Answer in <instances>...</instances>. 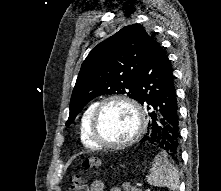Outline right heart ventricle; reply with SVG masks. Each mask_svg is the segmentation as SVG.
<instances>
[{
	"mask_svg": "<svg viewBox=\"0 0 221 191\" xmlns=\"http://www.w3.org/2000/svg\"><path fill=\"white\" fill-rule=\"evenodd\" d=\"M97 104V102H93L85 109L79 123L80 140L85 147L90 149H96L100 147L94 142L90 133L91 118Z\"/></svg>",
	"mask_w": 221,
	"mask_h": 191,
	"instance_id": "right-heart-ventricle-1",
	"label": "right heart ventricle"
}]
</instances>
